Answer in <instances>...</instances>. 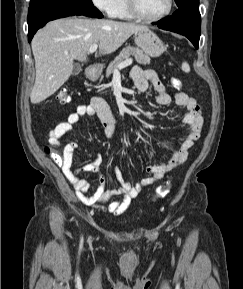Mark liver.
Wrapping results in <instances>:
<instances>
[{"label":"liver","instance_id":"obj_1","mask_svg":"<svg viewBox=\"0 0 243 289\" xmlns=\"http://www.w3.org/2000/svg\"><path fill=\"white\" fill-rule=\"evenodd\" d=\"M144 28L135 23L77 17L49 22L31 43L36 69L31 103L53 95L72 74L73 60L85 62L94 43H99V55H108Z\"/></svg>","mask_w":243,"mask_h":289}]
</instances>
